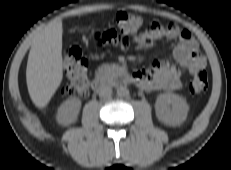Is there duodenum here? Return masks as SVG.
<instances>
[{"mask_svg": "<svg viewBox=\"0 0 231 170\" xmlns=\"http://www.w3.org/2000/svg\"><path fill=\"white\" fill-rule=\"evenodd\" d=\"M134 83L135 80L131 75L117 68L114 69V73L110 77H105L101 74H97L93 78L91 86L95 92H98L107 85L111 86V85H123V84H134Z\"/></svg>", "mask_w": 231, "mask_h": 170, "instance_id": "410a0bca", "label": "duodenum"}]
</instances>
